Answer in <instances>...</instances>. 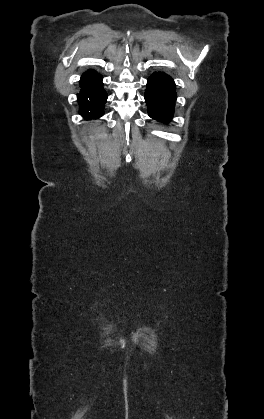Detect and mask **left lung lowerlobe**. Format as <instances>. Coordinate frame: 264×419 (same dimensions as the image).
Instances as JSON below:
<instances>
[{
    "instance_id": "1",
    "label": "left lung lower lobe",
    "mask_w": 264,
    "mask_h": 419,
    "mask_svg": "<svg viewBox=\"0 0 264 419\" xmlns=\"http://www.w3.org/2000/svg\"><path fill=\"white\" fill-rule=\"evenodd\" d=\"M175 100L173 79L161 72L153 73L148 78L145 92L149 116L157 121L167 123L173 117Z\"/></svg>"
}]
</instances>
